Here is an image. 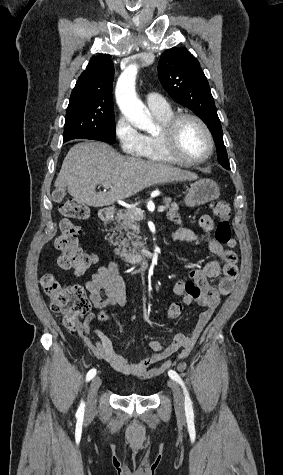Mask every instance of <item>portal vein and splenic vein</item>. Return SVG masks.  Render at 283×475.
Here are the masks:
<instances>
[{"label":"portal vein and splenic vein","mask_w":283,"mask_h":475,"mask_svg":"<svg viewBox=\"0 0 283 475\" xmlns=\"http://www.w3.org/2000/svg\"><path fill=\"white\" fill-rule=\"evenodd\" d=\"M103 188H113L112 182H105V184H103ZM129 208H134V206H129ZM137 210H138V214H140V216H143V212H141L139 208H137ZM164 210H165V206H159L157 212H164Z\"/></svg>","instance_id":"18ae733b"}]
</instances>
